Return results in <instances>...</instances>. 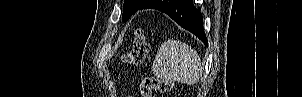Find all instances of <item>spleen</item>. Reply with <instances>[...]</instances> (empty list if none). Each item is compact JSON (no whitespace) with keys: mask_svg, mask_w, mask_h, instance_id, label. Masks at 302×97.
<instances>
[{"mask_svg":"<svg viewBox=\"0 0 302 97\" xmlns=\"http://www.w3.org/2000/svg\"><path fill=\"white\" fill-rule=\"evenodd\" d=\"M153 73L165 81L197 83L202 75L201 59L189 45L168 40L160 47Z\"/></svg>","mask_w":302,"mask_h":97,"instance_id":"obj_1","label":"spleen"}]
</instances>
